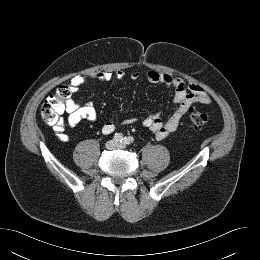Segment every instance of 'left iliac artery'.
I'll list each match as a JSON object with an SVG mask.
<instances>
[{"label":"left iliac artery","instance_id":"44dca946","mask_svg":"<svg viewBox=\"0 0 260 260\" xmlns=\"http://www.w3.org/2000/svg\"><path fill=\"white\" fill-rule=\"evenodd\" d=\"M134 142V138L132 136H128L124 138V143L125 144H132Z\"/></svg>","mask_w":260,"mask_h":260}]
</instances>
